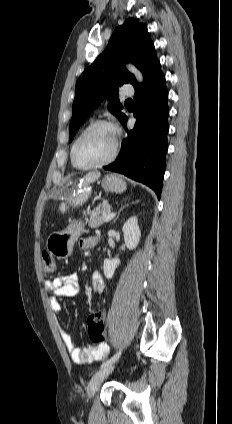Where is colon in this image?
Returning <instances> with one entry per match:
<instances>
[{
	"instance_id": "1",
	"label": "colon",
	"mask_w": 232,
	"mask_h": 424,
	"mask_svg": "<svg viewBox=\"0 0 232 424\" xmlns=\"http://www.w3.org/2000/svg\"><path fill=\"white\" fill-rule=\"evenodd\" d=\"M41 260L43 264V270L45 273H53L56 268L55 259L47 252L41 253ZM87 329L89 339L93 343L103 344L106 339L105 327H104V313L103 311L95 312L87 318Z\"/></svg>"
}]
</instances>
